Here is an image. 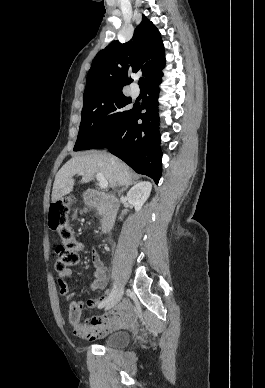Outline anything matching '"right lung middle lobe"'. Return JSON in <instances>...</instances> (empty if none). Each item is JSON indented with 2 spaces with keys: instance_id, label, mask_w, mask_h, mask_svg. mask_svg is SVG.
Wrapping results in <instances>:
<instances>
[{
  "instance_id": "1",
  "label": "right lung middle lobe",
  "mask_w": 265,
  "mask_h": 388,
  "mask_svg": "<svg viewBox=\"0 0 265 388\" xmlns=\"http://www.w3.org/2000/svg\"><path fill=\"white\" fill-rule=\"evenodd\" d=\"M131 103L122 90H104L84 98L82 119L75 151L105 148L121 130L132 109L125 106Z\"/></svg>"
}]
</instances>
